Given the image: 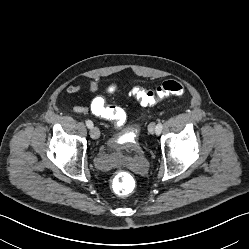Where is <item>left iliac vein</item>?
Masks as SVG:
<instances>
[{
    "label": "left iliac vein",
    "mask_w": 249,
    "mask_h": 249,
    "mask_svg": "<svg viewBox=\"0 0 249 249\" xmlns=\"http://www.w3.org/2000/svg\"><path fill=\"white\" fill-rule=\"evenodd\" d=\"M148 131L149 133L151 134H154L156 131H155V124L154 123H151L148 127Z\"/></svg>",
    "instance_id": "4c4485c4"
}]
</instances>
